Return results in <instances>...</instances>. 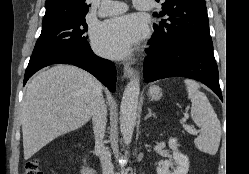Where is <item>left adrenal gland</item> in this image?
<instances>
[{"mask_svg": "<svg viewBox=\"0 0 249 174\" xmlns=\"http://www.w3.org/2000/svg\"><path fill=\"white\" fill-rule=\"evenodd\" d=\"M149 117L155 118V114L152 113L151 108H148V114L146 115L145 120H147Z\"/></svg>", "mask_w": 249, "mask_h": 174, "instance_id": "left-adrenal-gland-1", "label": "left adrenal gland"}]
</instances>
